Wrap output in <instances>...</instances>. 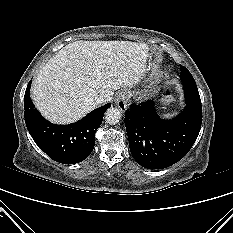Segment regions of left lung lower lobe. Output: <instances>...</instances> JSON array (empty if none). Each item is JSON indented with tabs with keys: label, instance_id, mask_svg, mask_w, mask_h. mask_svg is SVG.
<instances>
[{
	"label": "left lung lower lobe",
	"instance_id": "left-lung-lower-lobe-1",
	"mask_svg": "<svg viewBox=\"0 0 233 233\" xmlns=\"http://www.w3.org/2000/svg\"><path fill=\"white\" fill-rule=\"evenodd\" d=\"M185 108L173 119L160 118L154 102L132 104L125 113L130 151L148 169H163L181 160L200 132L202 105L196 84H184Z\"/></svg>",
	"mask_w": 233,
	"mask_h": 233
}]
</instances>
